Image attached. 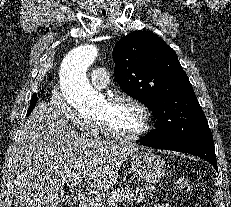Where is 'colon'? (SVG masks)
Returning <instances> with one entry per match:
<instances>
[{"label": "colon", "instance_id": "1", "mask_svg": "<svg viewBox=\"0 0 231 207\" xmlns=\"http://www.w3.org/2000/svg\"><path fill=\"white\" fill-rule=\"evenodd\" d=\"M177 189L183 193L187 198H190L193 194V187L190 182L183 177H180L176 180Z\"/></svg>", "mask_w": 231, "mask_h": 207}]
</instances>
